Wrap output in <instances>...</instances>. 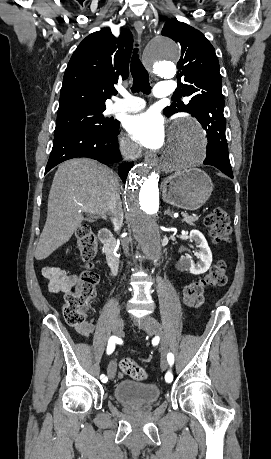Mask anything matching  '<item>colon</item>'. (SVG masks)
Wrapping results in <instances>:
<instances>
[{"mask_svg": "<svg viewBox=\"0 0 271 459\" xmlns=\"http://www.w3.org/2000/svg\"><path fill=\"white\" fill-rule=\"evenodd\" d=\"M205 225L209 229L214 243L227 242L231 236V222L228 213L221 209H213L205 218ZM76 244L86 267L73 290L64 297V318L70 326H78L85 322L90 302L96 295L99 276L91 269V262L97 253L98 245L94 232L87 225L77 228ZM228 268L224 260H218L212 265L208 273L201 279L188 284L184 289V300L193 308L202 306L206 299V289L220 287L226 284ZM121 370L132 379L142 381L147 373L133 359L124 358L120 362Z\"/></svg>", "mask_w": 271, "mask_h": 459, "instance_id": "colon-1", "label": "colon"}]
</instances>
